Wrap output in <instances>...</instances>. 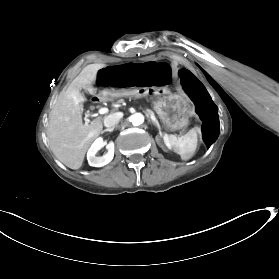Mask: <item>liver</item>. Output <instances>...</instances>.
I'll return each instance as SVG.
<instances>
[{
	"mask_svg": "<svg viewBox=\"0 0 279 279\" xmlns=\"http://www.w3.org/2000/svg\"><path fill=\"white\" fill-rule=\"evenodd\" d=\"M98 70L93 64L86 66L59 95L49 113L47 137L50 149L60 162L74 170L82 166L86 151L103 128L101 117L88 125L83 124L82 103L85 98L79 90L84 88L91 95L96 93L92 84Z\"/></svg>",
	"mask_w": 279,
	"mask_h": 279,
	"instance_id": "obj_1",
	"label": "liver"
}]
</instances>
